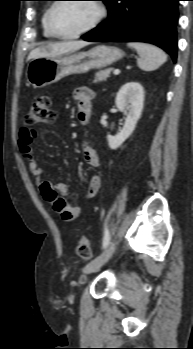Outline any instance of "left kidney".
Segmentation results:
<instances>
[{
	"label": "left kidney",
	"mask_w": 193,
	"mask_h": 349,
	"mask_svg": "<svg viewBox=\"0 0 193 349\" xmlns=\"http://www.w3.org/2000/svg\"><path fill=\"white\" fill-rule=\"evenodd\" d=\"M115 104L120 111H127L122 130L115 136L107 135L108 145L117 149L133 133L144 105V90L140 83H125L118 91Z\"/></svg>",
	"instance_id": "left-kidney-1"
}]
</instances>
